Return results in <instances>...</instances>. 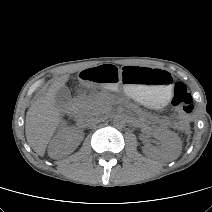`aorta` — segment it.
Instances as JSON below:
<instances>
[{
    "mask_svg": "<svg viewBox=\"0 0 212 212\" xmlns=\"http://www.w3.org/2000/svg\"><path fill=\"white\" fill-rule=\"evenodd\" d=\"M126 124V118L122 115H117L113 120V125L117 128H122Z\"/></svg>",
    "mask_w": 212,
    "mask_h": 212,
    "instance_id": "1",
    "label": "aorta"
}]
</instances>
